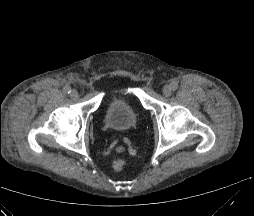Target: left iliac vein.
<instances>
[{"label": "left iliac vein", "mask_w": 254, "mask_h": 216, "mask_svg": "<svg viewBox=\"0 0 254 216\" xmlns=\"http://www.w3.org/2000/svg\"><path fill=\"white\" fill-rule=\"evenodd\" d=\"M162 92L165 96H170L171 95V88L169 85L163 86Z\"/></svg>", "instance_id": "left-iliac-vein-1"}]
</instances>
